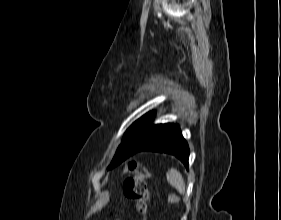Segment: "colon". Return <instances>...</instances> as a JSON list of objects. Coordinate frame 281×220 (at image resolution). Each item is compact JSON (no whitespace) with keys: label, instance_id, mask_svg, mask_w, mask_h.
<instances>
[{"label":"colon","instance_id":"colon-1","mask_svg":"<svg viewBox=\"0 0 281 220\" xmlns=\"http://www.w3.org/2000/svg\"><path fill=\"white\" fill-rule=\"evenodd\" d=\"M123 173L129 175L123 181L124 195L135 203L142 220H147L148 183L151 181L149 171L143 165L131 162L125 166ZM167 199L171 203H177L178 201V197L172 193L167 195Z\"/></svg>","mask_w":281,"mask_h":220}]
</instances>
